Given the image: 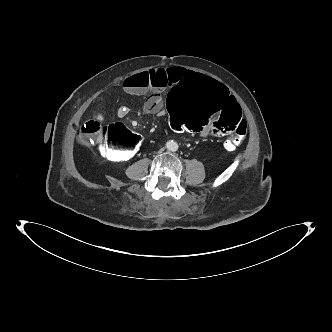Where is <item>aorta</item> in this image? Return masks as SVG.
Here are the masks:
<instances>
[{
  "instance_id": "762f6f07",
  "label": "aorta",
  "mask_w": 332,
  "mask_h": 332,
  "mask_svg": "<svg viewBox=\"0 0 332 332\" xmlns=\"http://www.w3.org/2000/svg\"><path fill=\"white\" fill-rule=\"evenodd\" d=\"M167 148L171 151H176L178 149V144L173 140L168 141L167 142Z\"/></svg>"
}]
</instances>
